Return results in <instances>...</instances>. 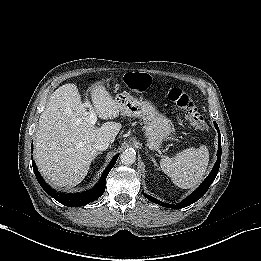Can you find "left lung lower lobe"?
Masks as SVG:
<instances>
[{
	"label": "left lung lower lobe",
	"mask_w": 261,
	"mask_h": 261,
	"mask_svg": "<svg viewBox=\"0 0 261 261\" xmlns=\"http://www.w3.org/2000/svg\"><path fill=\"white\" fill-rule=\"evenodd\" d=\"M214 124L219 133V129H218L216 122ZM220 159H221V140H220V135H219L217 161L213 167V170L208 175V177L203 181V183L190 196H188L186 199H184L182 202H180L179 204H176V205L163 203L160 200H157L154 197L149 196L147 194H144V196L147 197L148 200H150L154 203H157L161 206H164V207H169V208H173V209H181V208L187 207V206L191 205L192 203L196 202L197 200H199L206 193V191L208 190L209 186L212 184V182L214 181V179L218 173V170L220 167V162H221Z\"/></svg>",
	"instance_id": "0a47b994"
}]
</instances>
